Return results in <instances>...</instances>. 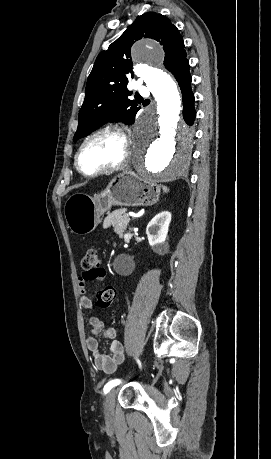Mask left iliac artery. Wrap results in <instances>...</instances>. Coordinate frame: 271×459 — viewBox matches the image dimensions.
<instances>
[{"instance_id": "1", "label": "left iliac artery", "mask_w": 271, "mask_h": 459, "mask_svg": "<svg viewBox=\"0 0 271 459\" xmlns=\"http://www.w3.org/2000/svg\"><path fill=\"white\" fill-rule=\"evenodd\" d=\"M138 363L140 364L139 360H138ZM120 382L121 381L119 379H114V380L109 381L103 388L104 393L105 394L108 393L113 387L117 386Z\"/></svg>"}]
</instances>
